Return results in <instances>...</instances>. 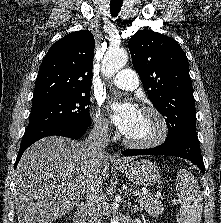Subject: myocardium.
<instances>
[{
  "label": "myocardium",
  "instance_id": "1",
  "mask_svg": "<svg viewBox=\"0 0 221 223\" xmlns=\"http://www.w3.org/2000/svg\"><path fill=\"white\" fill-rule=\"evenodd\" d=\"M141 112L151 114L157 119L159 125L158 133L151 139L144 141H135L124 136V143L130 147L139 149H150L161 145L166 140L169 133V124L166 117L158 109L151 106L143 107Z\"/></svg>",
  "mask_w": 221,
  "mask_h": 223
}]
</instances>
